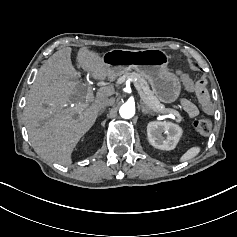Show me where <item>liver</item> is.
<instances>
[{
	"label": "liver",
	"instance_id": "obj_1",
	"mask_svg": "<svg viewBox=\"0 0 237 237\" xmlns=\"http://www.w3.org/2000/svg\"><path fill=\"white\" fill-rule=\"evenodd\" d=\"M71 53V47L58 50L41 66L23 111L29 139L37 155L63 166L72 164V153L94 125L102 101L115 94L114 86L102 87L94 102L83 110L86 98H73L84 84L72 65ZM76 61L94 80L106 81L112 76V70L100 53L90 46L78 49ZM72 103L75 107L67 106Z\"/></svg>",
	"mask_w": 237,
	"mask_h": 237
}]
</instances>
